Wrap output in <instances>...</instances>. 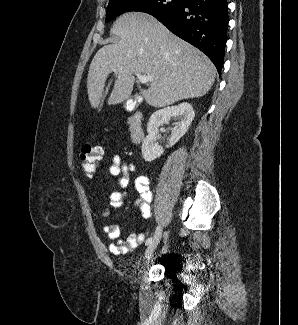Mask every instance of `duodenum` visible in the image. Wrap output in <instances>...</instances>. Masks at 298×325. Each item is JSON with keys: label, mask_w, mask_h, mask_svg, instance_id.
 I'll return each mask as SVG.
<instances>
[{"label": "duodenum", "mask_w": 298, "mask_h": 325, "mask_svg": "<svg viewBox=\"0 0 298 325\" xmlns=\"http://www.w3.org/2000/svg\"><path fill=\"white\" fill-rule=\"evenodd\" d=\"M128 127L131 141L134 144H139L144 138L143 115L140 111L130 116Z\"/></svg>", "instance_id": "obj_1"}]
</instances>
